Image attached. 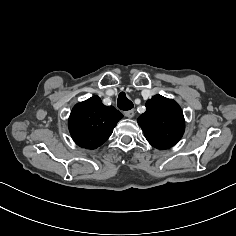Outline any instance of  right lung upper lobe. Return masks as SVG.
Returning <instances> with one entry per match:
<instances>
[{"label": "right lung upper lobe", "instance_id": "cb5924a9", "mask_svg": "<svg viewBox=\"0 0 236 236\" xmlns=\"http://www.w3.org/2000/svg\"><path fill=\"white\" fill-rule=\"evenodd\" d=\"M122 117L113 106H105L98 96H93L74 106L69 131L78 146L96 149L110 137Z\"/></svg>", "mask_w": 236, "mask_h": 236}]
</instances>
